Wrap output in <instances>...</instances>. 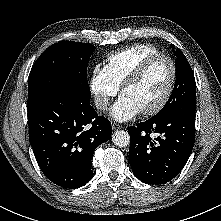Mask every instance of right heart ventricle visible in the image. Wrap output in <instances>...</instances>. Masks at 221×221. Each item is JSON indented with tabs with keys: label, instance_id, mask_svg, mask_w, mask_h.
Masks as SVG:
<instances>
[{
	"label": "right heart ventricle",
	"instance_id": "obj_1",
	"mask_svg": "<svg viewBox=\"0 0 221 221\" xmlns=\"http://www.w3.org/2000/svg\"><path fill=\"white\" fill-rule=\"evenodd\" d=\"M160 52L150 44H135L106 56V68L113 81L119 87L130 72L149 55Z\"/></svg>",
	"mask_w": 221,
	"mask_h": 221
}]
</instances>
